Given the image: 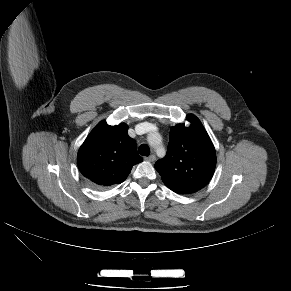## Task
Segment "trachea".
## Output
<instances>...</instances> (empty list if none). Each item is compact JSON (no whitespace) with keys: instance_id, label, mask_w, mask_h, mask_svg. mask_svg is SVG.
<instances>
[{"instance_id":"trachea-1","label":"trachea","mask_w":291,"mask_h":291,"mask_svg":"<svg viewBox=\"0 0 291 291\" xmlns=\"http://www.w3.org/2000/svg\"><path fill=\"white\" fill-rule=\"evenodd\" d=\"M139 153L142 156H149V154H150V148H149V146L146 145V144H141L139 146Z\"/></svg>"}]
</instances>
